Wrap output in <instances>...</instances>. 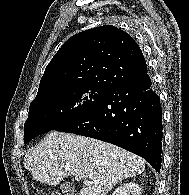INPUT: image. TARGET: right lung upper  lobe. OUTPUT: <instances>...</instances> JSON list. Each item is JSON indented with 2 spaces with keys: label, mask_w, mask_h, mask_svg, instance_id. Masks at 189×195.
<instances>
[{
  "label": "right lung upper lobe",
  "mask_w": 189,
  "mask_h": 195,
  "mask_svg": "<svg viewBox=\"0 0 189 195\" xmlns=\"http://www.w3.org/2000/svg\"><path fill=\"white\" fill-rule=\"evenodd\" d=\"M140 47L126 32L104 25L68 39L47 65L37 97L73 87L111 89L146 72Z\"/></svg>",
  "instance_id": "obj_1"
}]
</instances>
